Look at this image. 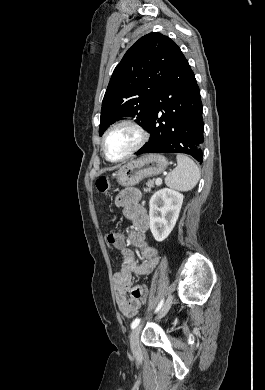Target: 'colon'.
<instances>
[{
	"mask_svg": "<svg viewBox=\"0 0 265 390\" xmlns=\"http://www.w3.org/2000/svg\"><path fill=\"white\" fill-rule=\"evenodd\" d=\"M96 188L99 192H106L109 187H110V182H109V179L106 178V177H99L97 180H96ZM107 240L110 244H113L114 246L116 245L117 243V240H118V232L116 230H110L108 233H107ZM139 296H140V299H141V302L142 303H146L147 301V297H148V290L146 287H144L140 292H139Z\"/></svg>",
	"mask_w": 265,
	"mask_h": 390,
	"instance_id": "colon-1",
	"label": "colon"
}]
</instances>
